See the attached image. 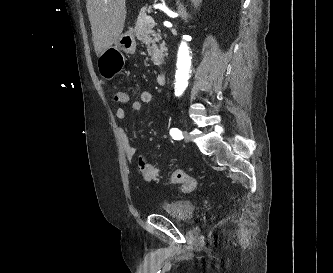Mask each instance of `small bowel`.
Here are the masks:
<instances>
[{
    "instance_id": "obj_1",
    "label": "small bowel",
    "mask_w": 333,
    "mask_h": 273,
    "mask_svg": "<svg viewBox=\"0 0 333 273\" xmlns=\"http://www.w3.org/2000/svg\"><path fill=\"white\" fill-rule=\"evenodd\" d=\"M152 100H153L152 93L148 90H143L139 95V99L132 101L131 108L133 111L138 112L142 109L143 105L151 103ZM115 114L118 119L125 120L128 116V111L125 107L121 106V107L116 108ZM120 137H121L122 147H123L126 159L130 163L134 162L136 159L137 153H136V148L133 145L130 136L124 129H121Z\"/></svg>"
}]
</instances>
